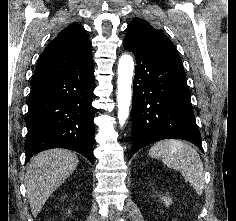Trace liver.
<instances>
[{
	"instance_id": "6515ba94",
	"label": "liver",
	"mask_w": 236,
	"mask_h": 221,
	"mask_svg": "<svg viewBox=\"0 0 236 221\" xmlns=\"http://www.w3.org/2000/svg\"><path fill=\"white\" fill-rule=\"evenodd\" d=\"M79 163L74 152L49 149L35 155L25 176L31 213L36 217L50 195L74 172Z\"/></svg>"
}]
</instances>
